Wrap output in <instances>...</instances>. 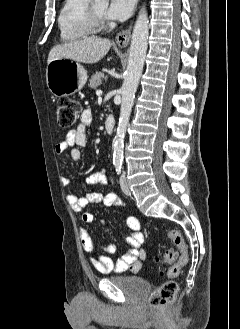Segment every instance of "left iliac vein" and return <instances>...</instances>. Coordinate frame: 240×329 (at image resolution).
I'll use <instances>...</instances> for the list:
<instances>
[{
    "instance_id": "obj_1",
    "label": "left iliac vein",
    "mask_w": 240,
    "mask_h": 329,
    "mask_svg": "<svg viewBox=\"0 0 240 329\" xmlns=\"http://www.w3.org/2000/svg\"><path fill=\"white\" fill-rule=\"evenodd\" d=\"M120 184H121V189L124 192V194L131 195V190L129 188L125 175H121Z\"/></svg>"
}]
</instances>
